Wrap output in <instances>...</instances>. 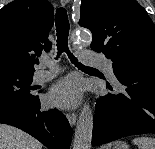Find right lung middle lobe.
<instances>
[{"instance_id":"dd1d6c3e","label":"right lung middle lobe","mask_w":155,"mask_h":149,"mask_svg":"<svg viewBox=\"0 0 155 149\" xmlns=\"http://www.w3.org/2000/svg\"><path fill=\"white\" fill-rule=\"evenodd\" d=\"M32 77L31 73L0 67V102H29L37 98Z\"/></svg>"}]
</instances>
